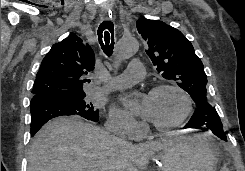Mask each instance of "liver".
<instances>
[{
  "label": "liver",
  "instance_id": "1",
  "mask_svg": "<svg viewBox=\"0 0 245 171\" xmlns=\"http://www.w3.org/2000/svg\"><path fill=\"white\" fill-rule=\"evenodd\" d=\"M177 139L170 133L157 141L133 145L78 117H61L36 134L27 171L144 170L153 153Z\"/></svg>",
  "mask_w": 245,
  "mask_h": 171
}]
</instances>
